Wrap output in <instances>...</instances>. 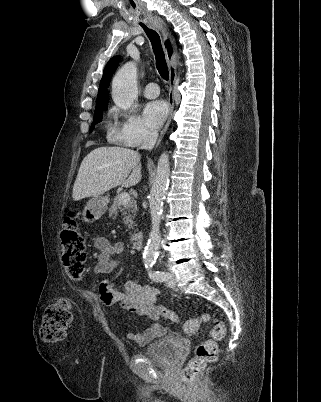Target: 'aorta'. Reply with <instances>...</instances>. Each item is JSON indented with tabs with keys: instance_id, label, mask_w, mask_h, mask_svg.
<instances>
[{
	"instance_id": "762f6f07",
	"label": "aorta",
	"mask_w": 321,
	"mask_h": 402,
	"mask_svg": "<svg viewBox=\"0 0 321 402\" xmlns=\"http://www.w3.org/2000/svg\"><path fill=\"white\" fill-rule=\"evenodd\" d=\"M137 98V67L134 62L126 63L114 76L112 81V99L124 109H129ZM169 156L163 152L159 157L156 178L149 194L151 231L143 254L146 268H151L158 255L161 241L160 223L163 213V200L169 185Z\"/></svg>"
}]
</instances>
